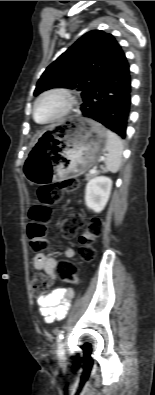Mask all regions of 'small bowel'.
I'll return each instance as SVG.
<instances>
[{
  "label": "small bowel",
  "mask_w": 155,
  "mask_h": 395,
  "mask_svg": "<svg viewBox=\"0 0 155 395\" xmlns=\"http://www.w3.org/2000/svg\"><path fill=\"white\" fill-rule=\"evenodd\" d=\"M73 255V249L66 247L64 257L70 259ZM33 267L36 270L44 271L53 280L57 278L58 259L45 251L38 252L34 256ZM73 296V289L64 287H58L48 294L40 295L37 299V304L45 322L52 323L55 320L64 318Z\"/></svg>",
  "instance_id": "c3829d8e"
}]
</instances>
